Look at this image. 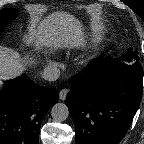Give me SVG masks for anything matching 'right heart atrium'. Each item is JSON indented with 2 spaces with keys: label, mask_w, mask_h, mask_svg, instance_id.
Returning a JSON list of instances; mask_svg holds the SVG:
<instances>
[{
  "label": "right heart atrium",
  "mask_w": 144,
  "mask_h": 144,
  "mask_svg": "<svg viewBox=\"0 0 144 144\" xmlns=\"http://www.w3.org/2000/svg\"><path fill=\"white\" fill-rule=\"evenodd\" d=\"M50 64H51V65H55L56 63H55V61L50 60Z\"/></svg>",
  "instance_id": "1"
}]
</instances>
